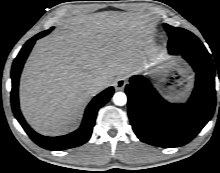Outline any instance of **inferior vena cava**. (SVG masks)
<instances>
[{
	"instance_id": "inferior-vena-cava-1",
	"label": "inferior vena cava",
	"mask_w": 220,
	"mask_h": 173,
	"mask_svg": "<svg viewBox=\"0 0 220 173\" xmlns=\"http://www.w3.org/2000/svg\"><path fill=\"white\" fill-rule=\"evenodd\" d=\"M93 85L97 88H102L107 85V81L103 79H95Z\"/></svg>"
}]
</instances>
